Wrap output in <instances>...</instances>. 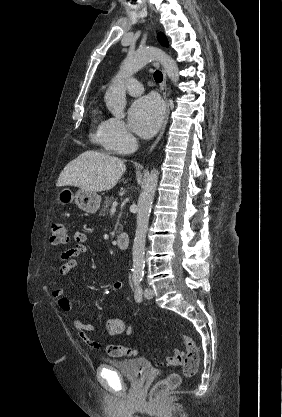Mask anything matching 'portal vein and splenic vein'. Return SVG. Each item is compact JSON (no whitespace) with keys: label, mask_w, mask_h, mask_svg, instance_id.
Segmentation results:
<instances>
[{"label":"portal vein and splenic vein","mask_w":282,"mask_h":417,"mask_svg":"<svg viewBox=\"0 0 282 417\" xmlns=\"http://www.w3.org/2000/svg\"><path fill=\"white\" fill-rule=\"evenodd\" d=\"M117 204H118L117 200H114V202H112V208H111V209H112V211H113V212H115V213H116V212H118V211H119V209H120V208H119V206H118Z\"/></svg>","instance_id":"portal-vein-and-splenic-vein-1"}]
</instances>
